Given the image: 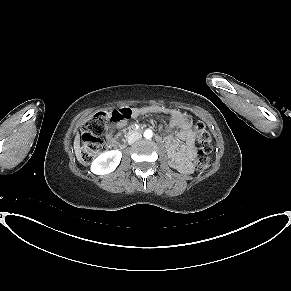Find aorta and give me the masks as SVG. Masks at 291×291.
Returning a JSON list of instances; mask_svg holds the SVG:
<instances>
[{"instance_id":"obj_1","label":"aorta","mask_w":291,"mask_h":291,"mask_svg":"<svg viewBox=\"0 0 291 291\" xmlns=\"http://www.w3.org/2000/svg\"><path fill=\"white\" fill-rule=\"evenodd\" d=\"M152 136H153V132H152V130L147 129V130L144 131V137H145L146 139H151Z\"/></svg>"}]
</instances>
